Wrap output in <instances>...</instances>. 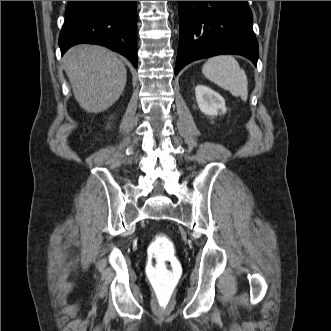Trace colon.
<instances>
[{
	"label": "colon",
	"instance_id": "5ec220e1",
	"mask_svg": "<svg viewBox=\"0 0 331 331\" xmlns=\"http://www.w3.org/2000/svg\"><path fill=\"white\" fill-rule=\"evenodd\" d=\"M146 273L153 289L156 306H171L182 268L175 256L174 244L165 234H157L149 246Z\"/></svg>",
	"mask_w": 331,
	"mask_h": 331
}]
</instances>
